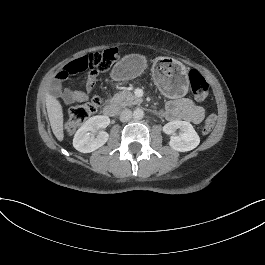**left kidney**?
I'll list each match as a JSON object with an SVG mask.
<instances>
[{
  "mask_svg": "<svg viewBox=\"0 0 265 265\" xmlns=\"http://www.w3.org/2000/svg\"><path fill=\"white\" fill-rule=\"evenodd\" d=\"M180 133L176 135V130ZM163 132L171 135L169 145L176 151L185 152L196 148L200 138L193 126L186 121L174 120L163 126Z\"/></svg>",
  "mask_w": 265,
  "mask_h": 265,
  "instance_id": "obj_1",
  "label": "left kidney"
}]
</instances>
